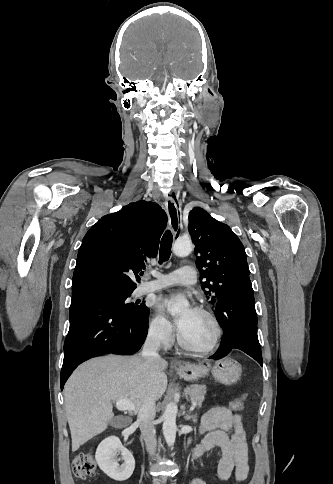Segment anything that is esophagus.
<instances>
[{
	"mask_svg": "<svg viewBox=\"0 0 333 484\" xmlns=\"http://www.w3.org/2000/svg\"><path fill=\"white\" fill-rule=\"evenodd\" d=\"M165 208L169 217V224L173 234L177 235L181 227V209L177 206L176 201L171 196L165 200ZM175 366H180L179 361H174Z\"/></svg>",
	"mask_w": 333,
	"mask_h": 484,
	"instance_id": "obj_1",
	"label": "esophagus"
}]
</instances>
